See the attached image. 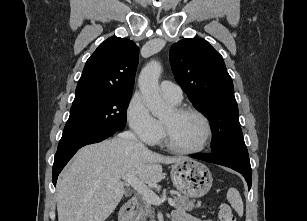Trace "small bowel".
Returning <instances> with one entry per match:
<instances>
[{
    "label": "small bowel",
    "mask_w": 307,
    "mask_h": 221,
    "mask_svg": "<svg viewBox=\"0 0 307 221\" xmlns=\"http://www.w3.org/2000/svg\"><path fill=\"white\" fill-rule=\"evenodd\" d=\"M172 221H212L195 217L184 210L177 209L172 213Z\"/></svg>",
    "instance_id": "small-bowel-1"
}]
</instances>
